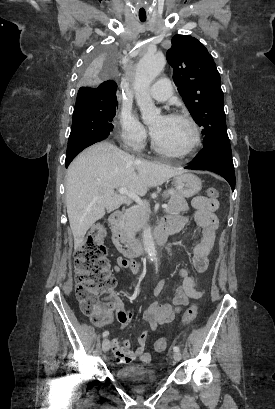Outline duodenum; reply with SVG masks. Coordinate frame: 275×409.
Wrapping results in <instances>:
<instances>
[{
  "label": "duodenum",
  "mask_w": 275,
  "mask_h": 409,
  "mask_svg": "<svg viewBox=\"0 0 275 409\" xmlns=\"http://www.w3.org/2000/svg\"><path fill=\"white\" fill-rule=\"evenodd\" d=\"M113 243L126 258L133 259L143 252L142 246L134 241L122 226V213L116 211L109 217ZM176 232V227L169 223H161L154 231V239L158 245H163L168 235Z\"/></svg>",
  "instance_id": "duodenum-1"
}]
</instances>
